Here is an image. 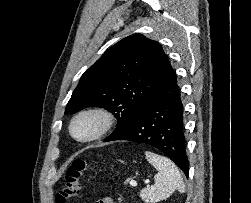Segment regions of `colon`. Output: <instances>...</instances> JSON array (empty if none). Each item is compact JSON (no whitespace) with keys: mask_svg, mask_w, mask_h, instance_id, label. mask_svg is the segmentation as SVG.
Returning <instances> with one entry per match:
<instances>
[{"mask_svg":"<svg viewBox=\"0 0 251 203\" xmlns=\"http://www.w3.org/2000/svg\"><path fill=\"white\" fill-rule=\"evenodd\" d=\"M86 169L87 163L83 160H75L72 165L68 167L65 180L56 197L57 203H66L79 195L81 191V179Z\"/></svg>","mask_w":251,"mask_h":203,"instance_id":"obj_1","label":"colon"}]
</instances>
